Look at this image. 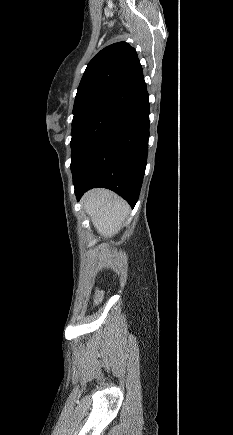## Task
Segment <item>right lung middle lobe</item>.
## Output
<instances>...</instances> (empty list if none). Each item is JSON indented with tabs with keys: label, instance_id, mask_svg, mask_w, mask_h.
<instances>
[{
	"label": "right lung middle lobe",
	"instance_id": "obj_1",
	"mask_svg": "<svg viewBox=\"0 0 233 435\" xmlns=\"http://www.w3.org/2000/svg\"><path fill=\"white\" fill-rule=\"evenodd\" d=\"M122 116L123 114L112 111H96L73 118L70 143L72 171Z\"/></svg>",
	"mask_w": 233,
	"mask_h": 435
}]
</instances>
